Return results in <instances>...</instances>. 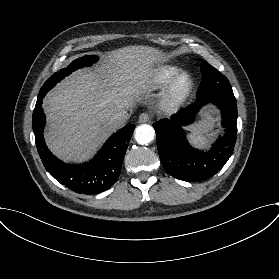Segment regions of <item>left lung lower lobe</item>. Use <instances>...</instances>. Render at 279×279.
<instances>
[{"label":"left lung lower lobe","mask_w":279,"mask_h":279,"mask_svg":"<svg viewBox=\"0 0 279 279\" xmlns=\"http://www.w3.org/2000/svg\"><path fill=\"white\" fill-rule=\"evenodd\" d=\"M214 102L221 110L224 134L207 152L192 148L182 126L194 121L199 109ZM237 103L223 97L197 100L180 110L171 119L153 124L156 131L158 153L166 172L183 181L197 182L214 176L225 165L234 150L237 138Z\"/></svg>","instance_id":"1"}]
</instances>
